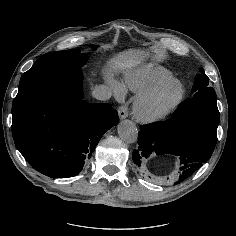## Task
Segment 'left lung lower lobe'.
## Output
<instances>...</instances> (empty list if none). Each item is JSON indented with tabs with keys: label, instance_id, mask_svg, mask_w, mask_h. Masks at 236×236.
Instances as JSON below:
<instances>
[{
	"label": "left lung lower lobe",
	"instance_id": "1",
	"mask_svg": "<svg viewBox=\"0 0 236 236\" xmlns=\"http://www.w3.org/2000/svg\"><path fill=\"white\" fill-rule=\"evenodd\" d=\"M220 113L216 100L194 97L182 102L171 118L143 125L133 161L140 168L151 155L180 158V183L211 157L217 140Z\"/></svg>",
	"mask_w": 236,
	"mask_h": 236
}]
</instances>
